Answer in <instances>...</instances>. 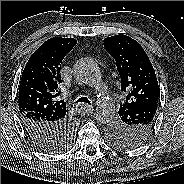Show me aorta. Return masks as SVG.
Listing matches in <instances>:
<instances>
[{
    "instance_id": "aorta-1",
    "label": "aorta",
    "mask_w": 184,
    "mask_h": 184,
    "mask_svg": "<svg viewBox=\"0 0 184 184\" xmlns=\"http://www.w3.org/2000/svg\"><path fill=\"white\" fill-rule=\"evenodd\" d=\"M76 79L89 87L99 90L102 86V76L99 66L89 58L79 59L74 64ZM96 119L100 123H109L116 114L115 104L107 97H100L96 102Z\"/></svg>"
}]
</instances>
